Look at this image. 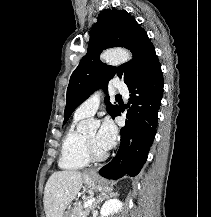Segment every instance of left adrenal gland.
<instances>
[{"label":"left adrenal gland","mask_w":211,"mask_h":217,"mask_svg":"<svg viewBox=\"0 0 211 217\" xmlns=\"http://www.w3.org/2000/svg\"><path fill=\"white\" fill-rule=\"evenodd\" d=\"M116 195H117V193H115V192H111L109 194H106V193L100 194L98 196L96 202L93 205V209L96 208V207H98V204H100L104 199H107L109 197L116 196Z\"/></svg>","instance_id":"left-adrenal-gland-1"}]
</instances>
